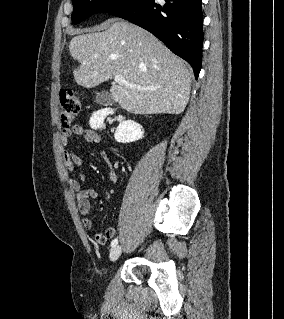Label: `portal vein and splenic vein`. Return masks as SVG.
Segmentation results:
<instances>
[{"label": "portal vein and splenic vein", "instance_id": "portal-vein-and-splenic-vein-1", "mask_svg": "<svg viewBox=\"0 0 284 319\" xmlns=\"http://www.w3.org/2000/svg\"><path fill=\"white\" fill-rule=\"evenodd\" d=\"M114 81H115L116 83H118V84L126 85V86L131 87V88H138V89L141 88L140 86H138V85H136V84H133V83H130V82L126 81L125 78H124V76H122V75H116V76L114 77Z\"/></svg>", "mask_w": 284, "mask_h": 319}]
</instances>
